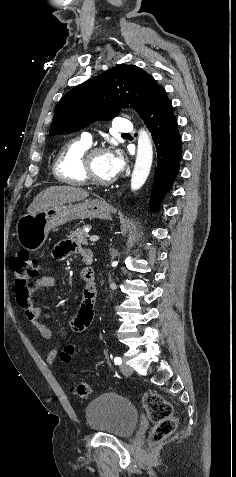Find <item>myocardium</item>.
<instances>
[{"label":"myocardium","instance_id":"obj_1","mask_svg":"<svg viewBox=\"0 0 236 477\" xmlns=\"http://www.w3.org/2000/svg\"><path fill=\"white\" fill-rule=\"evenodd\" d=\"M106 149L102 147H94L91 149H88L87 152L83 155L82 160H81V171L82 175L84 178V181L86 183H89L94 186H108L113 183V180H100L95 178L90 170L89 163L90 160L92 159L93 156L100 154V153H106Z\"/></svg>","mask_w":236,"mask_h":477}]
</instances>
